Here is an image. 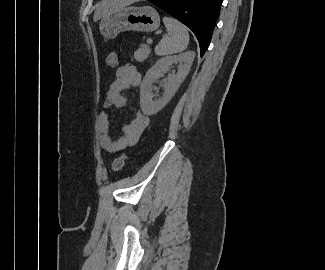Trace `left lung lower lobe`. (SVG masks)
<instances>
[{"instance_id": "1", "label": "left lung lower lobe", "mask_w": 325, "mask_h": 270, "mask_svg": "<svg viewBox=\"0 0 325 270\" xmlns=\"http://www.w3.org/2000/svg\"><path fill=\"white\" fill-rule=\"evenodd\" d=\"M192 30L201 56L208 48L222 0H148Z\"/></svg>"}]
</instances>
